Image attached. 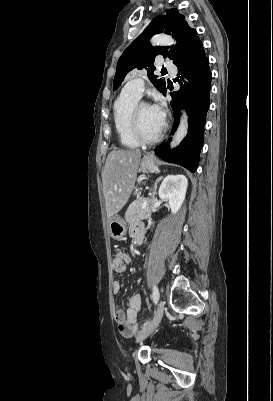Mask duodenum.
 <instances>
[{
    "instance_id": "410a0bca",
    "label": "duodenum",
    "mask_w": 273,
    "mask_h": 401,
    "mask_svg": "<svg viewBox=\"0 0 273 401\" xmlns=\"http://www.w3.org/2000/svg\"><path fill=\"white\" fill-rule=\"evenodd\" d=\"M136 242H137V244H140V243L142 242V240H141L140 238H138V239L136 240Z\"/></svg>"
}]
</instances>
